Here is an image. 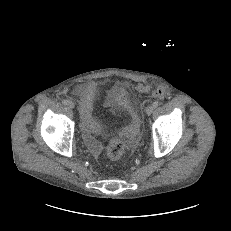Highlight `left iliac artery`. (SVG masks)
<instances>
[{
    "mask_svg": "<svg viewBox=\"0 0 231 231\" xmlns=\"http://www.w3.org/2000/svg\"><path fill=\"white\" fill-rule=\"evenodd\" d=\"M152 105L154 108H156L159 105V103H158V101H154Z\"/></svg>",
    "mask_w": 231,
    "mask_h": 231,
    "instance_id": "obj_1",
    "label": "left iliac artery"
}]
</instances>
